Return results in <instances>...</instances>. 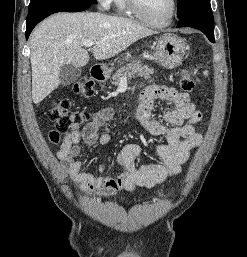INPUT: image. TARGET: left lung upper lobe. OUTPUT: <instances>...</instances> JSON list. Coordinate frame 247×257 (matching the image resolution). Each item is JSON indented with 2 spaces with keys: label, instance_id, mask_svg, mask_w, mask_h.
Instances as JSON below:
<instances>
[{
  "label": "left lung upper lobe",
  "instance_id": "5c2ea615",
  "mask_svg": "<svg viewBox=\"0 0 247 257\" xmlns=\"http://www.w3.org/2000/svg\"><path fill=\"white\" fill-rule=\"evenodd\" d=\"M194 12L213 15L210 0H178V17H182Z\"/></svg>",
  "mask_w": 247,
  "mask_h": 257
}]
</instances>
